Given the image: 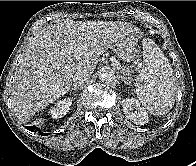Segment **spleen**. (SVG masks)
<instances>
[{
  "label": "spleen",
  "mask_w": 196,
  "mask_h": 166,
  "mask_svg": "<svg viewBox=\"0 0 196 166\" xmlns=\"http://www.w3.org/2000/svg\"><path fill=\"white\" fill-rule=\"evenodd\" d=\"M144 67L136 84V94L153 115L168 113L175 102L176 78L171 65L160 48L151 39L143 42Z\"/></svg>",
  "instance_id": "spleen-1"
}]
</instances>
